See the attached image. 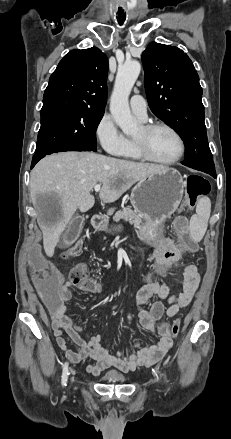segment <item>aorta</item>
Instances as JSON below:
<instances>
[{"mask_svg":"<svg viewBox=\"0 0 231 439\" xmlns=\"http://www.w3.org/2000/svg\"><path fill=\"white\" fill-rule=\"evenodd\" d=\"M140 70L141 65L135 60L121 65L117 71L110 99V112L113 119L126 135H133L138 131V124L130 112L129 95Z\"/></svg>","mask_w":231,"mask_h":439,"instance_id":"762f6f07","label":"aorta"}]
</instances>
